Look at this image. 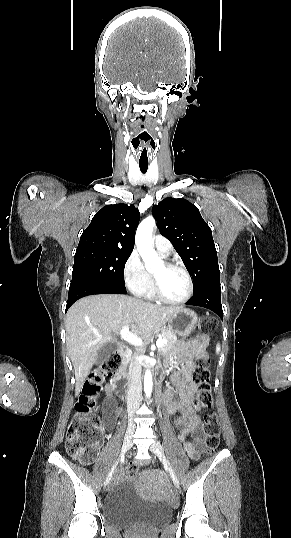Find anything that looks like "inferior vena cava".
I'll return each instance as SVG.
<instances>
[{
    "mask_svg": "<svg viewBox=\"0 0 291 538\" xmlns=\"http://www.w3.org/2000/svg\"><path fill=\"white\" fill-rule=\"evenodd\" d=\"M141 373L139 369H136L130 379V387L127 396V411L129 420L132 421V417L135 411L139 408L141 399Z\"/></svg>",
    "mask_w": 291,
    "mask_h": 538,
    "instance_id": "602c4592",
    "label": "inferior vena cava"
}]
</instances>
